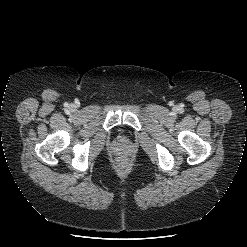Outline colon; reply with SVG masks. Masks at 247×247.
Masks as SVG:
<instances>
[{"instance_id": "obj_1", "label": "colon", "mask_w": 247, "mask_h": 247, "mask_svg": "<svg viewBox=\"0 0 247 247\" xmlns=\"http://www.w3.org/2000/svg\"><path fill=\"white\" fill-rule=\"evenodd\" d=\"M129 166V162L126 159H119L118 160V167L121 169H126Z\"/></svg>"}]
</instances>
